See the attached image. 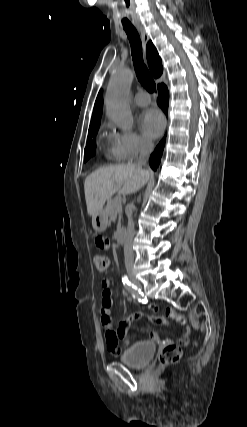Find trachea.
<instances>
[{"label": "trachea", "mask_w": 247, "mask_h": 427, "mask_svg": "<svg viewBox=\"0 0 247 427\" xmlns=\"http://www.w3.org/2000/svg\"><path fill=\"white\" fill-rule=\"evenodd\" d=\"M123 28L128 36L131 45V54L137 78L147 91H149L150 93L155 92L156 84L153 80L152 75L150 74L143 62L142 44L140 36L132 25H123Z\"/></svg>", "instance_id": "1"}]
</instances>
